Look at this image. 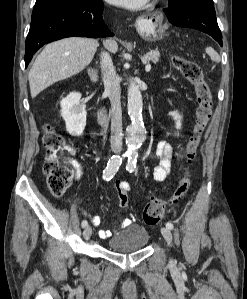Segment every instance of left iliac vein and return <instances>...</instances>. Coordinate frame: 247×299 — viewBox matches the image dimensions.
Segmentation results:
<instances>
[{"mask_svg":"<svg viewBox=\"0 0 247 299\" xmlns=\"http://www.w3.org/2000/svg\"><path fill=\"white\" fill-rule=\"evenodd\" d=\"M161 233H162L164 239L166 240L167 244L170 245L172 242V233H171L170 229L167 227H163V228H161Z\"/></svg>","mask_w":247,"mask_h":299,"instance_id":"4c4485c4","label":"left iliac vein"}]
</instances>
